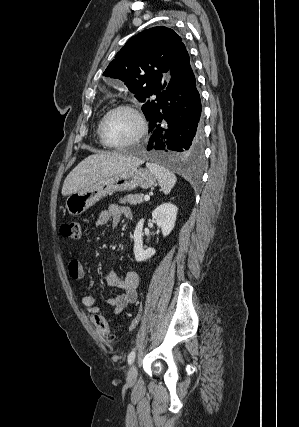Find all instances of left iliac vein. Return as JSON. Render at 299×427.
<instances>
[{
  "label": "left iliac vein",
  "instance_id": "1",
  "mask_svg": "<svg viewBox=\"0 0 299 427\" xmlns=\"http://www.w3.org/2000/svg\"><path fill=\"white\" fill-rule=\"evenodd\" d=\"M137 374H138L137 366L135 364H133L128 371L127 382L129 384L134 383L137 379Z\"/></svg>",
  "mask_w": 299,
  "mask_h": 427
}]
</instances>
